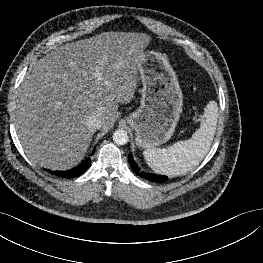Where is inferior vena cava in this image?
<instances>
[{
	"instance_id": "602c4592",
	"label": "inferior vena cava",
	"mask_w": 263,
	"mask_h": 263,
	"mask_svg": "<svg viewBox=\"0 0 263 263\" xmlns=\"http://www.w3.org/2000/svg\"><path fill=\"white\" fill-rule=\"evenodd\" d=\"M103 116L100 112H95L87 117L86 125L90 130H96L102 127Z\"/></svg>"
}]
</instances>
